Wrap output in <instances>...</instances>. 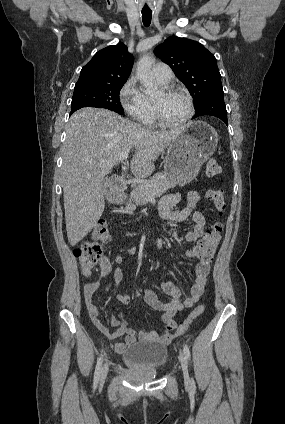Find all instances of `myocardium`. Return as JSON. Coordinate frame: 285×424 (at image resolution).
<instances>
[{
    "instance_id": "obj_1",
    "label": "myocardium",
    "mask_w": 285,
    "mask_h": 424,
    "mask_svg": "<svg viewBox=\"0 0 285 424\" xmlns=\"http://www.w3.org/2000/svg\"><path fill=\"white\" fill-rule=\"evenodd\" d=\"M163 93L166 96L181 95V96L185 97V99L188 102L189 112H188L187 116L181 122L171 123V122H168L163 117V114L161 112V108H160L159 104L154 101L153 103H154L155 118H156L158 124L163 126V127L170 128V129H181V128L185 127L192 120V118L195 115V106H194L193 98L191 97V95L189 93H187L186 91L179 89V88H166V89L163 90Z\"/></svg>"
}]
</instances>
